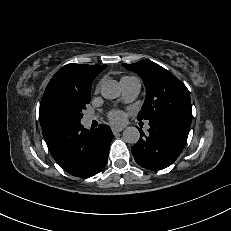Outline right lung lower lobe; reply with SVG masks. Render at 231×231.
Listing matches in <instances>:
<instances>
[{"label": "right lung lower lobe", "mask_w": 231, "mask_h": 231, "mask_svg": "<svg viewBox=\"0 0 231 231\" xmlns=\"http://www.w3.org/2000/svg\"><path fill=\"white\" fill-rule=\"evenodd\" d=\"M112 137L108 125L101 124L90 131L79 123L63 128L47 144L55 161L66 172L89 178L105 167Z\"/></svg>", "instance_id": "obj_1"}]
</instances>
